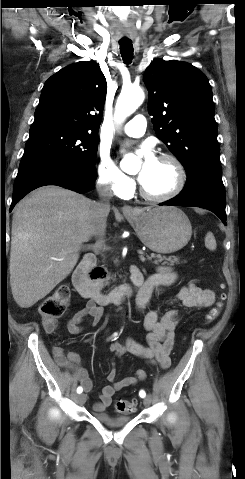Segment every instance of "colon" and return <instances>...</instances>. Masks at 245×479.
Masks as SVG:
<instances>
[{
	"instance_id": "5ec220e1",
	"label": "colon",
	"mask_w": 245,
	"mask_h": 479,
	"mask_svg": "<svg viewBox=\"0 0 245 479\" xmlns=\"http://www.w3.org/2000/svg\"><path fill=\"white\" fill-rule=\"evenodd\" d=\"M225 295H221L220 301L213 306L205 315L204 323L215 321L220 315ZM70 304V289L67 285H61L52 294L47 296L41 306L40 315L46 332H53L58 326L59 319L63 316ZM118 413H131L136 409V402L120 399L115 404Z\"/></svg>"
}]
</instances>
